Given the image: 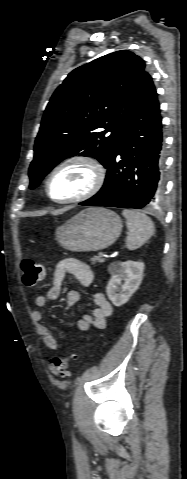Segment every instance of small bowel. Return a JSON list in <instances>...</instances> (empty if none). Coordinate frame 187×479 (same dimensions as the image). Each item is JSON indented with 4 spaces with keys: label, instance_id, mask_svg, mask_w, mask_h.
<instances>
[{
    "label": "small bowel",
    "instance_id": "1",
    "mask_svg": "<svg viewBox=\"0 0 187 479\" xmlns=\"http://www.w3.org/2000/svg\"><path fill=\"white\" fill-rule=\"evenodd\" d=\"M67 274L72 275L83 288H88L93 281V272L86 263L74 258L63 259L56 266L48 292L45 295L37 296L34 301V307L32 308V318L39 324L42 341L44 345L52 351H57L59 345L53 332L41 323L43 319L42 308L60 296ZM81 297L80 291H69L66 296L65 310L69 311L80 301ZM92 299L95 304L93 312L91 314H84L76 321L77 327L84 332H89L92 328L97 330L105 328L107 319L113 312L112 305L104 294L96 292L92 295Z\"/></svg>",
    "mask_w": 187,
    "mask_h": 479
}]
</instances>
